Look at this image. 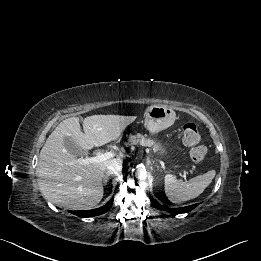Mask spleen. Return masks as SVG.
Segmentation results:
<instances>
[{"label": "spleen", "mask_w": 261, "mask_h": 261, "mask_svg": "<svg viewBox=\"0 0 261 261\" xmlns=\"http://www.w3.org/2000/svg\"><path fill=\"white\" fill-rule=\"evenodd\" d=\"M215 170L196 176L189 181L177 180L174 175L165 176V193L173 203H180L199 196L215 177Z\"/></svg>", "instance_id": "3e777b00"}]
</instances>
